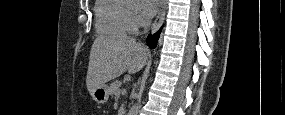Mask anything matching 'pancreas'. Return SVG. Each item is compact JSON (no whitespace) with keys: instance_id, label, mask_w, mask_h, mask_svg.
<instances>
[{"instance_id":"pancreas-1","label":"pancreas","mask_w":285,"mask_h":115,"mask_svg":"<svg viewBox=\"0 0 285 115\" xmlns=\"http://www.w3.org/2000/svg\"><path fill=\"white\" fill-rule=\"evenodd\" d=\"M121 86V82L116 80V81H113L111 84H110V88H109V93L112 95V96H119L120 94V87Z\"/></svg>"}]
</instances>
